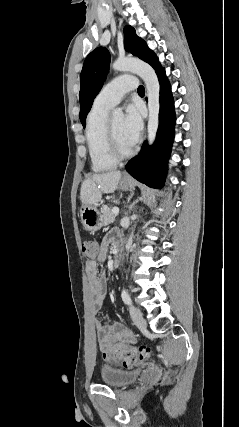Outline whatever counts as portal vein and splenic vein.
<instances>
[{"label":"portal vein and splenic vein","mask_w":239,"mask_h":427,"mask_svg":"<svg viewBox=\"0 0 239 427\" xmlns=\"http://www.w3.org/2000/svg\"><path fill=\"white\" fill-rule=\"evenodd\" d=\"M112 212H113V214L117 215V214L119 213V208L115 206V207L112 209Z\"/></svg>","instance_id":"portal-vein-and-splenic-vein-1"}]
</instances>
